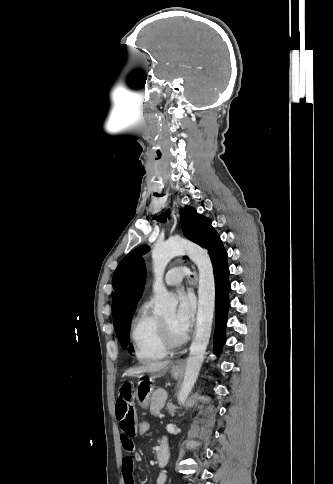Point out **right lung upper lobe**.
Returning <instances> with one entry per match:
<instances>
[{"instance_id": "right-lung-upper-lobe-1", "label": "right lung upper lobe", "mask_w": 333, "mask_h": 484, "mask_svg": "<svg viewBox=\"0 0 333 484\" xmlns=\"http://www.w3.org/2000/svg\"><path fill=\"white\" fill-rule=\"evenodd\" d=\"M146 268L143 258L133 260L124 270L114 292L112 317L116 333L124 321L133 315L143 293Z\"/></svg>"}]
</instances>
